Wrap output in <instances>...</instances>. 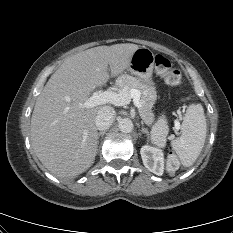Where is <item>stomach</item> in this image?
I'll return each mask as SVG.
<instances>
[{"mask_svg": "<svg viewBox=\"0 0 233 233\" xmlns=\"http://www.w3.org/2000/svg\"><path fill=\"white\" fill-rule=\"evenodd\" d=\"M154 63L155 55L153 52L147 47H140L133 53L127 70L136 76L139 81L155 91L152 80Z\"/></svg>", "mask_w": 233, "mask_h": 233, "instance_id": "0dacf381", "label": "stomach"}]
</instances>
